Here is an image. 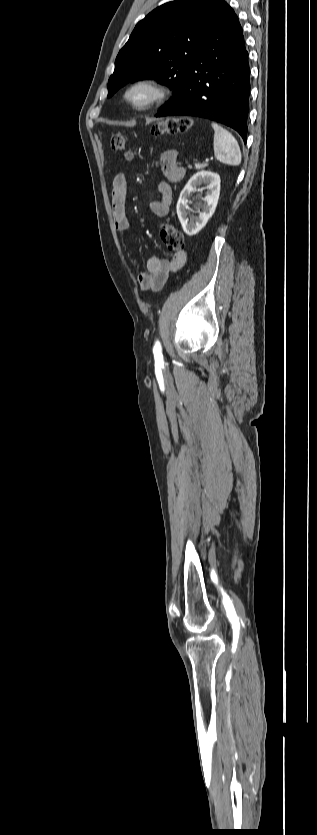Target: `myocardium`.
Returning <instances> with one entry per match:
<instances>
[{
	"label": "myocardium",
	"instance_id": "myocardium-1",
	"mask_svg": "<svg viewBox=\"0 0 317 835\" xmlns=\"http://www.w3.org/2000/svg\"><path fill=\"white\" fill-rule=\"evenodd\" d=\"M142 92L144 96L136 99L135 94ZM168 96L167 88L155 78H138L129 83L123 91V100L136 111L149 110Z\"/></svg>",
	"mask_w": 317,
	"mask_h": 835
}]
</instances>
